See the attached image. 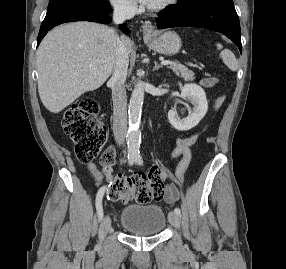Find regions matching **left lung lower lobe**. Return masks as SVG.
I'll return each instance as SVG.
<instances>
[{"label":"left lung lower lobe","instance_id":"left-lung-lower-lobe-1","mask_svg":"<svg viewBox=\"0 0 286 269\" xmlns=\"http://www.w3.org/2000/svg\"><path fill=\"white\" fill-rule=\"evenodd\" d=\"M156 20L159 29L191 26L226 35L242 53L239 18L232 0H202L187 7H168Z\"/></svg>","mask_w":286,"mask_h":269}]
</instances>
